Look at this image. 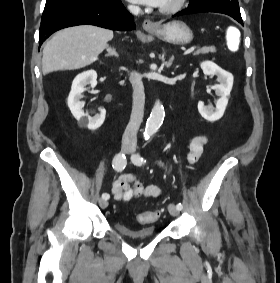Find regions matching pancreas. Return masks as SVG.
<instances>
[{
  "label": "pancreas",
  "mask_w": 280,
  "mask_h": 283,
  "mask_svg": "<svg viewBox=\"0 0 280 283\" xmlns=\"http://www.w3.org/2000/svg\"><path fill=\"white\" fill-rule=\"evenodd\" d=\"M216 48L213 46H205L197 50L194 55H199V54H208V53H215Z\"/></svg>",
  "instance_id": "obj_1"
}]
</instances>
